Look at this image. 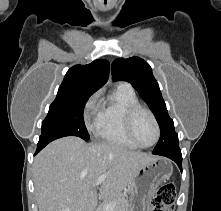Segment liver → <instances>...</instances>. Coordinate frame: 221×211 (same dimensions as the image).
<instances>
[{
	"mask_svg": "<svg viewBox=\"0 0 221 211\" xmlns=\"http://www.w3.org/2000/svg\"><path fill=\"white\" fill-rule=\"evenodd\" d=\"M155 157L129 151L111 143H89L78 137L51 142L33 164L35 195L39 211H95L98 199L121 192L129 185L140 166Z\"/></svg>",
	"mask_w": 221,
	"mask_h": 211,
	"instance_id": "obj_1",
	"label": "liver"
}]
</instances>
